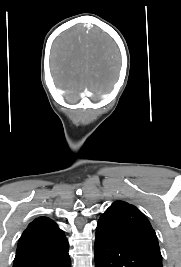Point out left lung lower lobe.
I'll return each instance as SVG.
<instances>
[{"label": "left lung lower lobe", "instance_id": "obj_1", "mask_svg": "<svg viewBox=\"0 0 181 267\" xmlns=\"http://www.w3.org/2000/svg\"><path fill=\"white\" fill-rule=\"evenodd\" d=\"M95 267H162V259L105 230L96 231Z\"/></svg>", "mask_w": 181, "mask_h": 267}]
</instances>
